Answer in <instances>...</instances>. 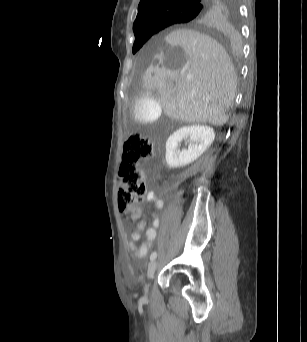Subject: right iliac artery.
<instances>
[{
	"label": "right iliac artery",
	"instance_id": "obj_1",
	"mask_svg": "<svg viewBox=\"0 0 307 342\" xmlns=\"http://www.w3.org/2000/svg\"><path fill=\"white\" fill-rule=\"evenodd\" d=\"M157 256V253L156 252H153L150 256V260L153 261Z\"/></svg>",
	"mask_w": 307,
	"mask_h": 342
}]
</instances>
